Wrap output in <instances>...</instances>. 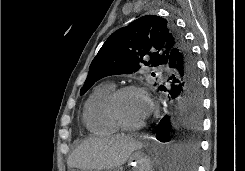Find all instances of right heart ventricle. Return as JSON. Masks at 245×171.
<instances>
[{
	"label": "right heart ventricle",
	"mask_w": 245,
	"mask_h": 171,
	"mask_svg": "<svg viewBox=\"0 0 245 171\" xmlns=\"http://www.w3.org/2000/svg\"><path fill=\"white\" fill-rule=\"evenodd\" d=\"M114 90L113 83L105 82L96 86L87 98L83 110V121L91 133L110 135L118 131L119 128L107 112V101Z\"/></svg>",
	"instance_id": "1"
}]
</instances>
